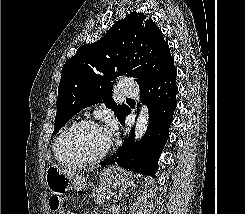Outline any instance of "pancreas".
Returning <instances> with one entry per match:
<instances>
[{
    "mask_svg": "<svg viewBox=\"0 0 245 214\" xmlns=\"http://www.w3.org/2000/svg\"><path fill=\"white\" fill-rule=\"evenodd\" d=\"M105 195H106V191L104 188L94 187L90 197L95 203L102 204L105 202Z\"/></svg>",
    "mask_w": 245,
    "mask_h": 214,
    "instance_id": "obj_1",
    "label": "pancreas"
}]
</instances>
